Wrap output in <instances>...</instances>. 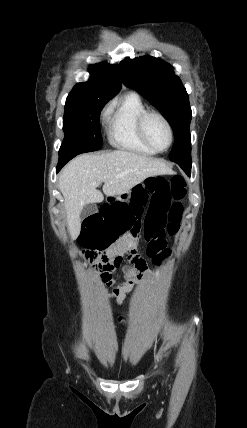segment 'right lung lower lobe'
<instances>
[{
	"label": "right lung lower lobe",
	"mask_w": 247,
	"mask_h": 428,
	"mask_svg": "<svg viewBox=\"0 0 247 428\" xmlns=\"http://www.w3.org/2000/svg\"><path fill=\"white\" fill-rule=\"evenodd\" d=\"M76 155H68V156H59V162L56 168V172L58 173L59 170L72 158H74Z\"/></svg>",
	"instance_id": "obj_1"
}]
</instances>
